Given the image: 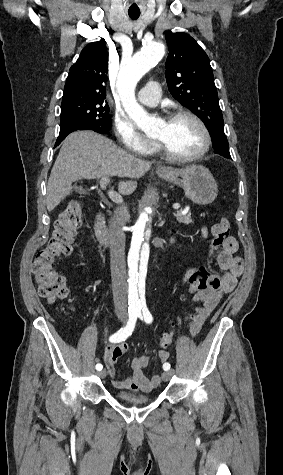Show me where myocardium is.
I'll return each instance as SVG.
<instances>
[{
    "label": "myocardium",
    "instance_id": "obj_1",
    "mask_svg": "<svg viewBox=\"0 0 283 475\" xmlns=\"http://www.w3.org/2000/svg\"><path fill=\"white\" fill-rule=\"evenodd\" d=\"M180 117H187L193 120L202 130L203 133V140L201 143L200 148L192 155L185 156V157H177L174 156L169 152L166 145L159 139L155 138V142L157 145V150L161 156H163L166 160L171 163L178 164V165H185L190 163H195L202 159L210 149L211 145V136L210 131L205 124V122L195 113L186 110H175L169 113L168 119H176Z\"/></svg>",
    "mask_w": 283,
    "mask_h": 475
}]
</instances>
